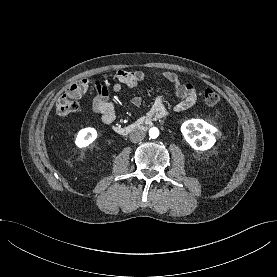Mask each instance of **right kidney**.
I'll use <instances>...</instances> for the list:
<instances>
[{
  "label": "right kidney",
  "instance_id": "obj_1",
  "mask_svg": "<svg viewBox=\"0 0 277 277\" xmlns=\"http://www.w3.org/2000/svg\"><path fill=\"white\" fill-rule=\"evenodd\" d=\"M96 138L97 131L94 128L87 127L78 132L75 144L79 148H84L91 144Z\"/></svg>",
  "mask_w": 277,
  "mask_h": 277
}]
</instances>
